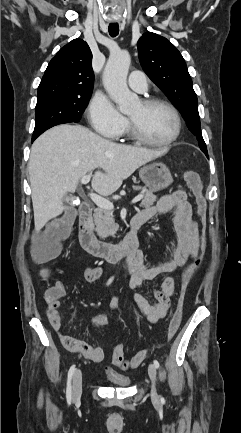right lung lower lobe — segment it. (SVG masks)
<instances>
[{"label":"right lung lower lobe","instance_id":"98d812e1","mask_svg":"<svg viewBox=\"0 0 241 433\" xmlns=\"http://www.w3.org/2000/svg\"><path fill=\"white\" fill-rule=\"evenodd\" d=\"M32 139L35 140L36 138H35V137H34V138L32 137ZM33 140H32V141H33Z\"/></svg>","mask_w":241,"mask_h":433}]
</instances>
